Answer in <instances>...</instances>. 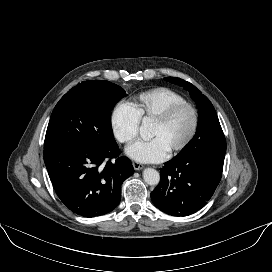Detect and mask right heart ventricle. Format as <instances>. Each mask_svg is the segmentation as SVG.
I'll return each mask as SVG.
<instances>
[{"instance_id": "right-heart-ventricle-1", "label": "right heart ventricle", "mask_w": 272, "mask_h": 272, "mask_svg": "<svg viewBox=\"0 0 272 272\" xmlns=\"http://www.w3.org/2000/svg\"><path fill=\"white\" fill-rule=\"evenodd\" d=\"M186 102L172 89L157 87L137 95L131 104L140 121L154 119L171 105Z\"/></svg>"}]
</instances>
